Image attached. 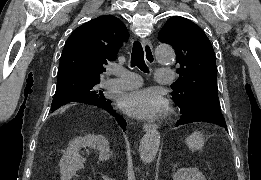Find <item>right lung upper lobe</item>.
I'll return each instance as SVG.
<instances>
[{"instance_id":"obj_1","label":"right lung upper lobe","mask_w":261,"mask_h":180,"mask_svg":"<svg viewBox=\"0 0 261 180\" xmlns=\"http://www.w3.org/2000/svg\"><path fill=\"white\" fill-rule=\"evenodd\" d=\"M129 37L122 21L111 15L100 16L78 27L68 38L61 55L58 82L100 80L107 61Z\"/></svg>"}]
</instances>
